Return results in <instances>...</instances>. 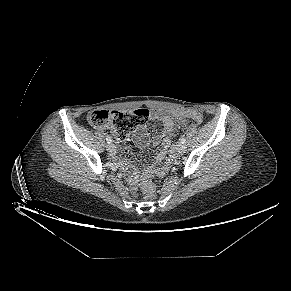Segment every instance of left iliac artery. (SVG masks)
I'll use <instances>...</instances> for the list:
<instances>
[{
	"mask_svg": "<svg viewBox=\"0 0 291 291\" xmlns=\"http://www.w3.org/2000/svg\"><path fill=\"white\" fill-rule=\"evenodd\" d=\"M180 142H181L182 144H184V143L186 142V139H185V138H181V139H180Z\"/></svg>",
	"mask_w": 291,
	"mask_h": 291,
	"instance_id": "left-iliac-artery-1",
	"label": "left iliac artery"
}]
</instances>
